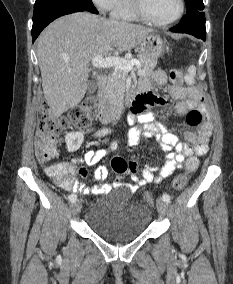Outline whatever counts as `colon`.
Instances as JSON below:
<instances>
[{
	"instance_id": "obj_1",
	"label": "colon",
	"mask_w": 233,
	"mask_h": 284,
	"mask_svg": "<svg viewBox=\"0 0 233 284\" xmlns=\"http://www.w3.org/2000/svg\"><path fill=\"white\" fill-rule=\"evenodd\" d=\"M170 81L175 85L183 83L184 76L181 70L172 69L169 73ZM96 99L94 97L85 98L78 106L72 108L65 116L55 118L47 104L40 107L38 114V126L35 141V154L39 162L48 163L57 156L56 141L59 134L71 127H87L96 113ZM204 120V115L200 109H191L186 116L189 126H198ZM129 166L122 157H114L111 161L112 169L118 174H125ZM199 166L196 157L191 156L186 161V172L177 176L173 181L175 190H182L188 183L189 174L194 172ZM153 195L148 193L144 196L147 204L153 203Z\"/></svg>"
}]
</instances>
